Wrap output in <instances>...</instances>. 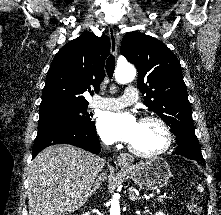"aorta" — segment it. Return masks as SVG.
<instances>
[{"label": "aorta", "instance_id": "1", "mask_svg": "<svg viewBox=\"0 0 221 215\" xmlns=\"http://www.w3.org/2000/svg\"><path fill=\"white\" fill-rule=\"evenodd\" d=\"M136 76V69L131 64L117 66L115 70V79L120 84H126L132 81ZM110 215H120L119 196L114 195L110 201Z\"/></svg>", "mask_w": 221, "mask_h": 215}]
</instances>
